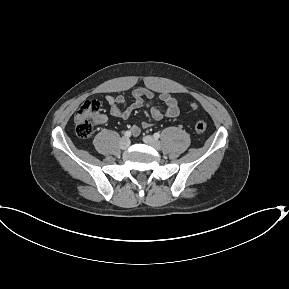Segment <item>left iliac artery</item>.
Instances as JSON below:
<instances>
[{
    "label": "left iliac artery",
    "instance_id": "1",
    "mask_svg": "<svg viewBox=\"0 0 289 289\" xmlns=\"http://www.w3.org/2000/svg\"><path fill=\"white\" fill-rule=\"evenodd\" d=\"M154 137H155L156 139H158V138H160V134H159V133H155V134H154Z\"/></svg>",
    "mask_w": 289,
    "mask_h": 289
}]
</instances>
